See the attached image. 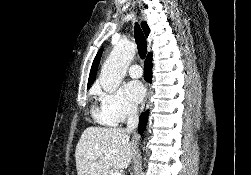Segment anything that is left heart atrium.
Masks as SVG:
<instances>
[{
    "label": "left heart atrium",
    "instance_id": "39dd6f15",
    "mask_svg": "<svg viewBox=\"0 0 251 175\" xmlns=\"http://www.w3.org/2000/svg\"><path fill=\"white\" fill-rule=\"evenodd\" d=\"M127 99L135 104L141 101L145 95V88L141 81L131 80L125 86Z\"/></svg>",
    "mask_w": 251,
    "mask_h": 175
}]
</instances>
